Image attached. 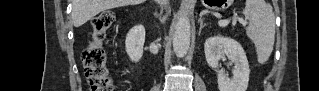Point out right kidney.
<instances>
[{"label":"right kidney","mask_w":319,"mask_h":91,"mask_svg":"<svg viewBox=\"0 0 319 91\" xmlns=\"http://www.w3.org/2000/svg\"><path fill=\"white\" fill-rule=\"evenodd\" d=\"M145 42V28L143 25L134 26L127 34L125 46L129 58L138 62L143 56Z\"/></svg>","instance_id":"ca27d5eb"}]
</instances>
